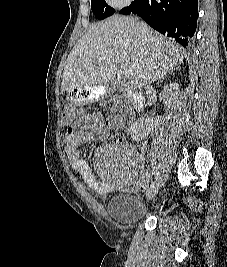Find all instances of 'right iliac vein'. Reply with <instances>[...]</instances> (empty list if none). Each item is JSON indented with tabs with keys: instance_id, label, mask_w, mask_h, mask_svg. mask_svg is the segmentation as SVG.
I'll return each mask as SVG.
<instances>
[{
	"instance_id": "63e3f726",
	"label": "right iliac vein",
	"mask_w": 227,
	"mask_h": 267,
	"mask_svg": "<svg viewBox=\"0 0 227 267\" xmlns=\"http://www.w3.org/2000/svg\"><path fill=\"white\" fill-rule=\"evenodd\" d=\"M157 191H158V185L155 184L151 185L147 193L148 199H152L157 194Z\"/></svg>"
}]
</instances>
